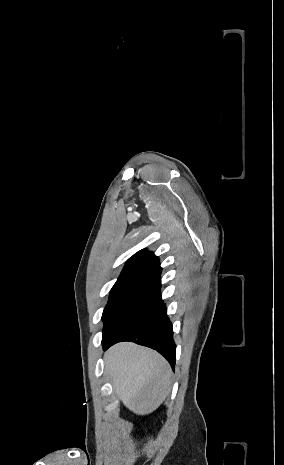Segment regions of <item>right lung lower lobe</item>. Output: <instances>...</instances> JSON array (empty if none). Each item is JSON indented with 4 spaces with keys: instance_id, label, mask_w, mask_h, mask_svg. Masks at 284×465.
<instances>
[{
    "instance_id": "1",
    "label": "right lung lower lobe",
    "mask_w": 284,
    "mask_h": 465,
    "mask_svg": "<svg viewBox=\"0 0 284 465\" xmlns=\"http://www.w3.org/2000/svg\"><path fill=\"white\" fill-rule=\"evenodd\" d=\"M160 280L116 323L103 332L102 345L107 350L121 341H131L158 351L175 366L176 345L173 327L161 299Z\"/></svg>"
}]
</instances>
